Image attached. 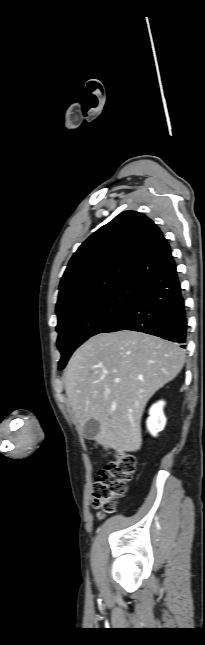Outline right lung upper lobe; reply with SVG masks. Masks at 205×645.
Instances as JSON below:
<instances>
[{
	"label": "right lung upper lobe",
	"mask_w": 205,
	"mask_h": 645,
	"mask_svg": "<svg viewBox=\"0 0 205 645\" xmlns=\"http://www.w3.org/2000/svg\"><path fill=\"white\" fill-rule=\"evenodd\" d=\"M174 264L158 226L142 213L125 211L93 233L72 256L60 282L56 313L84 297L126 283L140 285Z\"/></svg>",
	"instance_id": "obj_1"
}]
</instances>
